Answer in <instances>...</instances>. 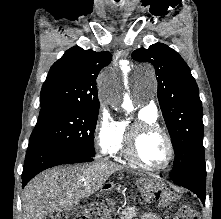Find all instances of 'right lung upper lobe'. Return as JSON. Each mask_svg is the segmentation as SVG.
I'll use <instances>...</instances> for the list:
<instances>
[{
	"label": "right lung upper lobe",
	"mask_w": 221,
	"mask_h": 219,
	"mask_svg": "<svg viewBox=\"0 0 221 219\" xmlns=\"http://www.w3.org/2000/svg\"><path fill=\"white\" fill-rule=\"evenodd\" d=\"M111 58L109 52L70 48L51 67L41 89L40 104L100 106L96 79Z\"/></svg>",
	"instance_id": "right-lung-upper-lobe-1"
}]
</instances>
